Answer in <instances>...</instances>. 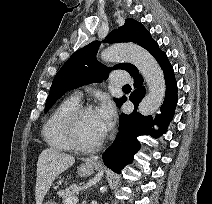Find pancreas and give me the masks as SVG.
Here are the masks:
<instances>
[{
  "label": "pancreas",
  "instance_id": "pancreas-1",
  "mask_svg": "<svg viewBox=\"0 0 212 204\" xmlns=\"http://www.w3.org/2000/svg\"><path fill=\"white\" fill-rule=\"evenodd\" d=\"M78 187L77 185H72L65 190H60L58 196L62 199L63 204H66L67 200L71 197L77 196Z\"/></svg>",
  "mask_w": 212,
  "mask_h": 204
}]
</instances>
